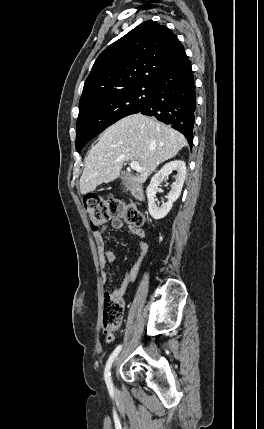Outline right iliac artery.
<instances>
[{
  "label": "right iliac artery",
  "mask_w": 264,
  "mask_h": 429,
  "mask_svg": "<svg viewBox=\"0 0 264 429\" xmlns=\"http://www.w3.org/2000/svg\"><path fill=\"white\" fill-rule=\"evenodd\" d=\"M121 348H122V345L117 346L115 348V350L112 352V354L110 355V357L106 363L105 372H104V379H105L107 387L110 391L113 390V386H112V382H111L110 369H111V366H112L114 359L117 357V355L121 351Z\"/></svg>",
  "instance_id": "obj_1"
}]
</instances>
